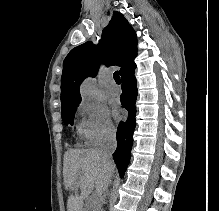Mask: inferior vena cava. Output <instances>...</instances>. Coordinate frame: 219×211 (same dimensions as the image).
Returning a JSON list of instances; mask_svg holds the SVG:
<instances>
[{
  "label": "inferior vena cava",
  "instance_id": "obj_1",
  "mask_svg": "<svg viewBox=\"0 0 219 211\" xmlns=\"http://www.w3.org/2000/svg\"><path fill=\"white\" fill-rule=\"evenodd\" d=\"M117 147L116 135L115 133H106L105 137H103V141L99 147V151H101L104 159V166L106 171H109L110 175H119L120 171L116 170L117 161H113L112 153H114Z\"/></svg>",
  "mask_w": 219,
  "mask_h": 211
}]
</instances>
